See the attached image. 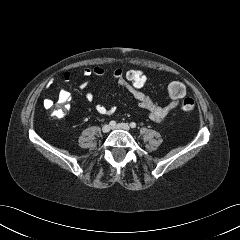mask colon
Returning <instances> with one entry per match:
<instances>
[{
    "mask_svg": "<svg viewBox=\"0 0 240 240\" xmlns=\"http://www.w3.org/2000/svg\"><path fill=\"white\" fill-rule=\"evenodd\" d=\"M125 78L127 83L136 90L143 91L148 83L146 73L138 67H132L125 71ZM61 91L59 93L56 107L54 108L53 114L56 117L63 116L67 111V103L65 98L62 96ZM167 94L170 99H182L181 109L183 111H192L195 108V101L191 97H185L186 86L181 81H172L167 86Z\"/></svg>",
    "mask_w": 240,
    "mask_h": 240,
    "instance_id": "1",
    "label": "colon"
}]
</instances>
